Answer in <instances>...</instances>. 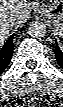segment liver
I'll return each mask as SVG.
<instances>
[{"label":"liver","mask_w":63,"mask_h":107,"mask_svg":"<svg viewBox=\"0 0 63 107\" xmlns=\"http://www.w3.org/2000/svg\"><path fill=\"white\" fill-rule=\"evenodd\" d=\"M30 13V4L27 0H0V43L2 44L9 35L13 26L4 24L9 16L16 17L15 25L26 22ZM14 25V26H15Z\"/></svg>","instance_id":"1"}]
</instances>
